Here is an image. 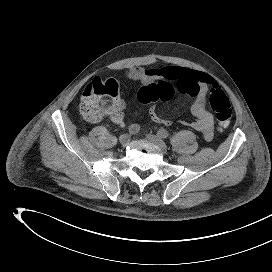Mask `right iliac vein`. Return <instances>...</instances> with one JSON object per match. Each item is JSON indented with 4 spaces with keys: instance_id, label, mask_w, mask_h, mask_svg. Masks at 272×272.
<instances>
[{
    "instance_id": "1",
    "label": "right iliac vein",
    "mask_w": 272,
    "mask_h": 272,
    "mask_svg": "<svg viewBox=\"0 0 272 272\" xmlns=\"http://www.w3.org/2000/svg\"><path fill=\"white\" fill-rule=\"evenodd\" d=\"M119 141L122 146H126L130 142V135L129 134H123L120 136Z\"/></svg>"
}]
</instances>
